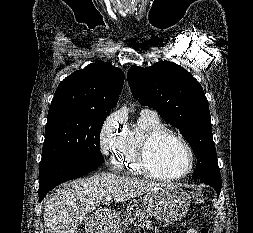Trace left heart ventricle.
I'll return each instance as SVG.
<instances>
[{
  "instance_id": "b2bd125f",
  "label": "left heart ventricle",
  "mask_w": 253,
  "mask_h": 233,
  "mask_svg": "<svg viewBox=\"0 0 253 233\" xmlns=\"http://www.w3.org/2000/svg\"><path fill=\"white\" fill-rule=\"evenodd\" d=\"M149 161L151 168L160 175L174 176L184 173L189 166L187 149L171 137L159 139L153 146Z\"/></svg>"
}]
</instances>
